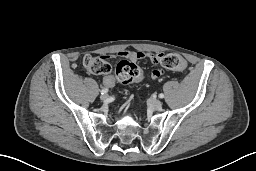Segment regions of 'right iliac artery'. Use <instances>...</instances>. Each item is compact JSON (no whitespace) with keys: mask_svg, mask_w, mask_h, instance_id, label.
<instances>
[{"mask_svg":"<svg viewBox=\"0 0 256 171\" xmlns=\"http://www.w3.org/2000/svg\"><path fill=\"white\" fill-rule=\"evenodd\" d=\"M108 92V89H102L101 94H106Z\"/></svg>","mask_w":256,"mask_h":171,"instance_id":"82829eb1","label":"right iliac artery"}]
</instances>
